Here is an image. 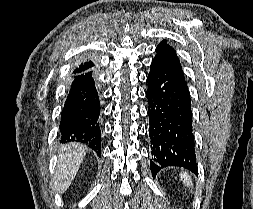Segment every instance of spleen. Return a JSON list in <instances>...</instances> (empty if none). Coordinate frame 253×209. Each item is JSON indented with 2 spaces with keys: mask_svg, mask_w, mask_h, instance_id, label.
Here are the masks:
<instances>
[{
  "mask_svg": "<svg viewBox=\"0 0 253 209\" xmlns=\"http://www.w3.org/2000/svg\"><path fill=\"white\" fill-rule=\"evenodd\" d=\"M180 177H181V180L183 181V184H185L187 187L190 188L193 186L191 178L188 176L187 173H181Z\"/></svg>",
  "mask_w": 253,
  "mask_h": 209,
  "instance_id": "1",
  "label": "spleen"
}]
</instances>
